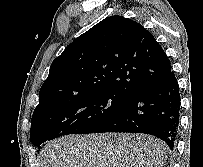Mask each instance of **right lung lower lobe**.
Segmentation results:
<instances>
[{
    "mask_svg": "<svg viewBox=\"0 0 203 167\" xmlns=\"http://www.w3.org/2000/svg\"><path fill=\"white\" fill-rule=\"evenodd\" d=\"M179 117V86L171 70L127 96L126 102L92 133H146L162 139L172 150Z\"/></svg>",
    "mask_w": 203,
    "mask_h": 167,
    "instance_id": "98d812e1",
    "label": "right lung lower lobe"
}]
</instances>
